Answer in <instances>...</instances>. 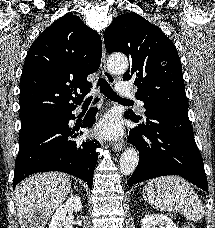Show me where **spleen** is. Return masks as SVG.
<instances>
[{
    "instance_id": "3e777b00",
    "label": "spleen",
    "mask_w": 215,
    "mask_h": 228,
    "mask_svg": "<svg viewBox=\"0 0 215 228\" xmlns=\"http://www.w3.org/2000/svg\"><path fill=\"white\" fill-rule=\"evenodd\" d=\"M143 198L155 210L182 212L189 222L204 218V208L189 182L178 176H161L149 180L142 190Z\"/></svg>"
}]
</instances>
